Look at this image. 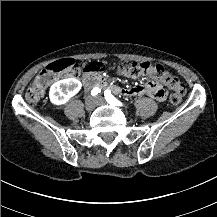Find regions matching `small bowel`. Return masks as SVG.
<instances>
[{
  "instance_id": "c3829d8e",
  "label": "small bowel",
  "mask_w": 217,
  "mask_h": 217,
  "mask_svg": "<svg viewBox=\"0 0 217 217\" xmlns=\"http://www.w3.org/2000/svg\"><path fill=\"white\" fill-rule=\"evenodd\" d=\"M76 74V70L68 71L66 72V76H73ZM124 88H118V93L125 95V96H135V95H149L150 97L154 99H163L164 97V91L159 88L155 83H147V84H141L136 85L131 88H125L130 90V94L124 93L122 90Z\"/></svg>"
}]
</instances>
